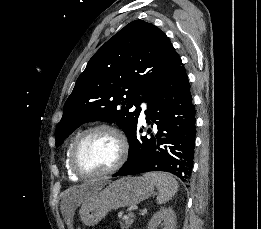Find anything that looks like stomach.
Masks as SVG:
<instances>
[{"label":"stomach","mask_w":261,"mask_h":229,"mask_svg":"<svg viewBox=\"0 0 261 229\" xmlns=\"http://www.w3.org/2000/svg\"><path fill=\"white\" fill-rule=\"evenodd\" d=\"M87 185L98 187L80 209V219L88 227L97 225L112 209L138 205L154 193L153 183L144 177H122L113 183L97 179Z\"/></svg>","instance_id":"0dacf381"}]
</instances>
